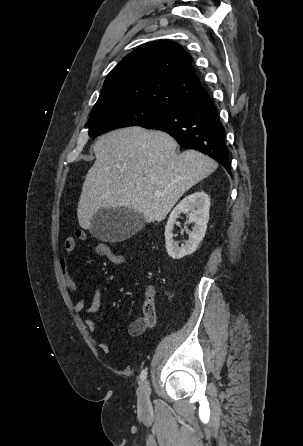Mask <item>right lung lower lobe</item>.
Returning <instances> with one entry per match:
<instances>
[{
  "instance_id": "98d812e1",
  "label": "right lung lower lobe",
  "mask_w": 303,
  "mask_h": 446,
  "mask_svg": "<svg viewBox=\"0 0 303 446\" xmlns=\"http://www.w3.org/2000/svg\"><path fill=\"white\" fill-rule=\"evenodd\" d=\"M140 126L168 133L180 145L210 156L230 172L224 128L208 94L166 111Z\"/></svg>"
}]
</instances>
